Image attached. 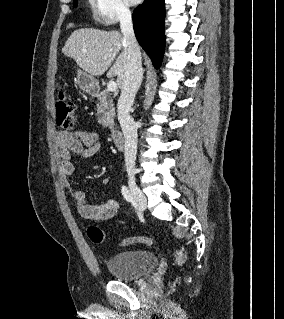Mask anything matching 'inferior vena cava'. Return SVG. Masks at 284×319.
Wrapping results in <instances>:
<instances>
[{"mask_svg":"<svg viewBox=\"0 0 284 319\" xmlns=\"http://www.w3.org/2000/svg\"><path fill=\"white\" fill-rule=\"evenodd\" d=\"M120 28L128 52V64L118 99V120L125 138V166L127 170H134L137 154V127L129 111L133 105L135 95L141 85L143 69L141 66V53L137 43L129 9L120 11Z\"/></svg>","mask_w":284,"mask_h":319,"instance_id":"1","label":"inferior vena cava"}]
</instances>
